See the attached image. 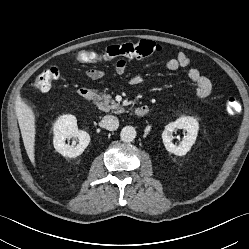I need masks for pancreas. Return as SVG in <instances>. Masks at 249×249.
Returning a JSON list of instances; mask_svg holds the SVG:
<instances>
[{
    "label": "pancreas",
    "mask_w": 249,
    "mask_h": 249,
    "mask_svg": "<svg viewBox=\"0 0 249 249\" xmlns=\"http://www.w3.org/2000/svg\"><path fill=\"white\" fill-rule=\"evenodd\" d=\"M97 107L105 112L111 111L112 113L119 114L123 112L121 106L112 100L111 95L100 93L97 95Z\"/></svg>",
    "instance_id": "pancreas-1"
}]
</instances>
